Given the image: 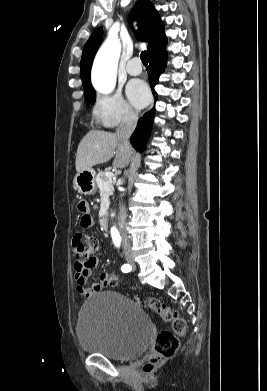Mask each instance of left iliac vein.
<instances>
[{"instance_id": "obj_1", "label": "left iliac vein", "mask_w": 267, "mask_h": 391, "mask_svg": "<svg viewBox=\"0 0 267 391\" xmlns=\"http://www.w3.org/2000/svg\"><path fill=\"white\" fill-rule=\"evenodd\" d=\"M132 266H133V268H135V265H134V264H133Z\"/></svg>"}]
</instances>
